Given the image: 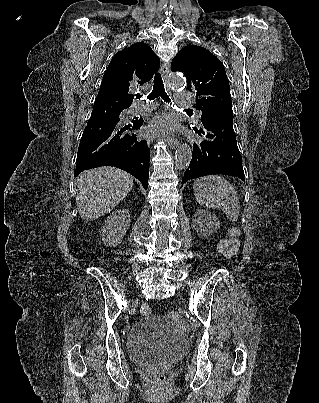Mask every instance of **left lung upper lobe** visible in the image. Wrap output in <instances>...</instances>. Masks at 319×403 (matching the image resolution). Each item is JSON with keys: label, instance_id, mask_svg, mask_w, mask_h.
Here are the masks:
<instances>
[{"label": "left lung upper lobe", "instance_id": "left-lung-upper-lobe-1", "mask_svg": "<svg viewBox=\"0 0 319 403\" xmlns=\"http://www.w3.org/2000/svg\"><path fill=\"white\" fill-rule=\"evenodd\" d=\"M173 71L183 72L187 88L196 93V109L201 118L232 111L228 78L221 61L207 49L189 45L181 49L172 60Z\"/></svg>", "mask_w": 319, "mask_h": 403}]
</instances>
